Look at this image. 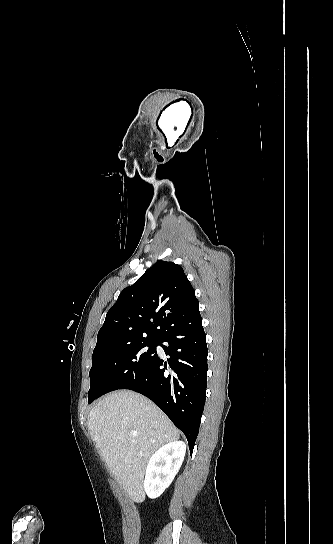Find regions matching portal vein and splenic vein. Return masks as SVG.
<instances>
[{
	"mask_svg": "<svg viewBox=\"0 0 333 544\" xmlns=\"http://www.w3.org/2000/svg\"><path fill=\"white\" fill-rule=\"evenodd\" d=\"M131 434H132L133 436H137V435H138V433H137L136 431H132Z\"/></svg>",
	"mask_w": 333,
	"mask_h": 544,
	"instance_id": "portal-vein-and-splenic-vein-1",
	"label": "portal vein and splenic vein"
}]
</instances>
